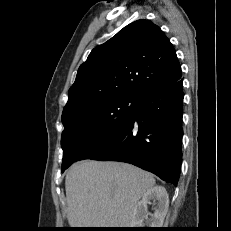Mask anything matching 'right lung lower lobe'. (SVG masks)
I'll return each mask as SVG.
<instances>
[{"label":"right lung lower lobe","instance_id":"1","mask_svg":"<svg viewBox=\"0 0 231 231\" xmlns=\"http://www.w3.org/2000/svg\"><path fill=\"white\" fill-rule=\"evenodd\" d=\"M183 98L181 79L142 91L134 114L80 160L130 163L176 186L182 163Z\"/></svg>","mask_w":231,"mask_h":231}]
</instances>
